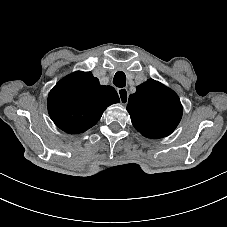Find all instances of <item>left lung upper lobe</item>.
<instances>
[{"instance_id":"1","label":"left lung upper lobe","mask_w":227,"mask_h":227,"mask_svg":"<svg viewBox=\"0 0 227 227\" xmlns=\"http://www.w3.org/2000/svg\"><path fill=\"white\" fill-rule=\"evenodd\" d=\"M127 111L132 124L145 137L157 139L171 134L182 117L177 94L153 79L136 88L129 96Z\"/></svg>"}]
</instances>
